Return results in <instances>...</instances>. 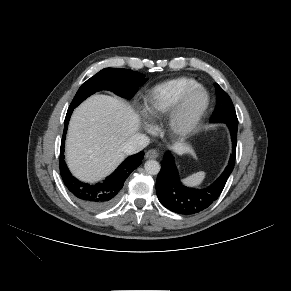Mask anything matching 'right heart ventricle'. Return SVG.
I'll use <instances>...</instances> for the list:
<instances>
[{
  "mask_svg": "<svg viewBox=\"0 0 291 291\" xmlns=\"http://www.w3.org/2000/svg\"><path fill=\"white\" fill-rule=\"evenodd\" d=\"M197 80L179 77L154 86L145 96L144 110L152 120H160L169 114L182 96L198 86Z\"/></svg>",
  "mask_w": 291,
  "mask_h": 291,
  "instance_id": "1",
  "label": "right heart ventricle"
}]
</instances>
